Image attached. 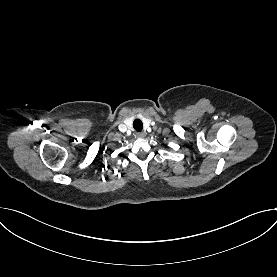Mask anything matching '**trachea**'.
<instances>
[{
    "instance_id": "trachea-1",
    "label": "trachea",
    "mask_w": 277,
    "mask_h": 277,
    "mask_svg": "<svg viewBox=\"0 0 277 277\" xmlns=\"http://www.w3.org/2000/svg\"><path fill=\"white\" fill-rule=\"evenodd\" d=\"M133 127L137 132H141L143 129V123L140 119H135L133 122Z\"/></svg>"
}]
</instances>
